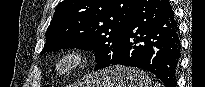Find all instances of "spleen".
Segmentation results:
<instances>
[{"instance_id": "spleen-1", "label": "spleen", "mask_w": 205, "mask_h": 87, "mask_svg": "<svg viewBox=\"0 0 205 87\" xmlns=\"http://www.w3.org/2000/svg\"><path fill=\"white\" fill-rule=\"evenodd\" d=\"M155 87H161L160 83H155Z\"/></svg>"}]
</instances>
